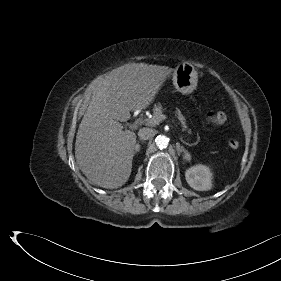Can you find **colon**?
Returning a JSON list of instances; mask_svg holds the SVG:
<instances>
[{
	"label": "colon",
	"mask_w": 281,
	"mask_h": 281,
	"mask_svg": "<svg viewBox=\"0 0 281 281\" xmlns=\"http://www.w3.org/2000/svg\"><path fill=\"white\" fill-rule=\"evenodd\" d=\"M208 120L209 122H211L212 124H223L226 119V113L223 110H213L210 111L208 113ZM228 145L232 148V149H237L240 145L239 140L236 138H230L228 140Z\"/></svg>",
	"instance_id": "5ec220e1"
}]
</instances>
